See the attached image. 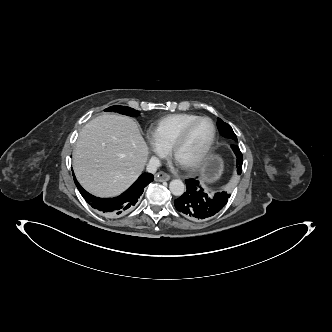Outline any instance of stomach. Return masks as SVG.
Here are the masks:
<instances>
[{
  "label": "stomach",
  "instance_id": "1",
  "mask_svg": "<svg viewBox=\"0 0 332 332\" xmlns=\"http://www.w3.org/2000/svg\"><path fill=\"white\" fill-rule=\"evenodd\" d=\"M223 170L222 161L217 156H210L205 161L201 171V181L205 188L215 183Z\"/></svg>",
  "mask_w": 332,
  "mask_h": 332
}]
</instances>
